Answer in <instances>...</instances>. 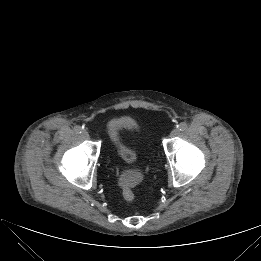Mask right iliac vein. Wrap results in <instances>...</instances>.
Returning <instances> with one entry per match:
<instances>
[{"mask_svg":"<svg viewBox=\"0 0 261 261\" xmlns=\"http://www.w3.org/2000/svg\"><path fill=\"white\" fill-rule=\"evenodd\" d=\"M82 136H83V138L88 139L89 133L87 131H82Z\"/></svg>","mask_w":261,"mask_h":261,"instance_id":"right-iliac-vein-1","label":"right iliac vein"}]
</instances>
